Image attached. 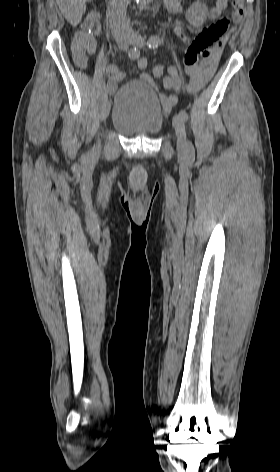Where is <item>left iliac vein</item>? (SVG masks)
Instances as JSON below:
<instances>
[{
  "mask_svg": "<svg viewBox=\"0 0 280 472\" xmlns=\"http://www.w3.org/2000/svg\"><path fill=\"white\" fill-rule=\"evenodd\" d=\"M130 43L137 47H143L145 40L140 34L133 32L130 35ZM173 126L177 137V148L180 152H185L188 148V142L184 122L179 116H174Z\"/></svg>",
  "mask_w": 280,
  "mask_h": 472,
  "instance_id": "1",
  "label": "left iliac vein"
}]
</instances>
